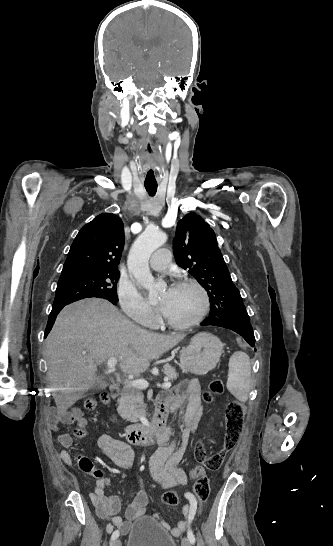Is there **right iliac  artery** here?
I'll return each instance as SVG.
<instances>
[{"label": "right iliac artery", "instance_id": "82829eb1", "mask_svg": "<svg viewBox=\"0 0 333 546\" xmlns=\"http://www.w3.org/2000/svg\"><path fill=\"white\" fill-rule=\"evenodd\" d=\"M119 537V531L115 530L111 536V541L117 539Z\"/></svg>", "mask_w": 333, "mask_h": 546}]
</instances>
